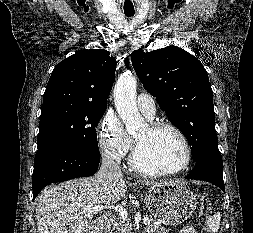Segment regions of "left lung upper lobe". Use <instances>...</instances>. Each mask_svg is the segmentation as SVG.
<instances>
[{
    "mask_svg": "<svg viewBox=\"0 0 253 233\" xmlns=\"http://www.w3.org/2000/svg\"><path fill=\"white\" fill-rule=\"evenodd\" d=\"M131 60L144 88L187 138L193 160H222L217 147L213 91L202 63L176 46L151 52L136 50Z\"/></svg>",
    "mask_w": 253,
    "mask_h": 233,
    "instance_id": "left-lung-upper-lobe-1",
    "label": "left lung upper lobe"
}]
</instances>
